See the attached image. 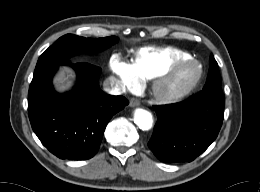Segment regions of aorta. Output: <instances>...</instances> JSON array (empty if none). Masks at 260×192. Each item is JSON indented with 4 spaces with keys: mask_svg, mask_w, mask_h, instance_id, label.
<instances>
[{
    "mask_svg": "<svg viewBox=\"0 0 260 192\" xmlns=\"http://www.w3.org/2000/svg\"><path fill=\"white\" fill-rule=\"evenodd\" d=\"M134 122L142 130H149L153 125L152 114L142 108H137L134 111Z\"/></svg>",
    "mask_w": 260,
    "mask_h": 192,
    "instance_id": "1",
    "label": "aorta"
}]
</instances>
